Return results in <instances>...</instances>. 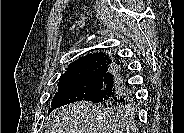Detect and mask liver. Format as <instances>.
<instances>
[{"instance_id":"1","label":"liver","mask_w":184,"mask_h":133,"mask_svg":"<svg viewBox=\"0 0 184 133\" xmlns=\"http://www.w3.org/2000/svg\"><path fill=\"white\" fill-rule=\"evenodd\" d=\"M47 133H120L110 115L91 102H76L62 106L49 116Z\"/></svg>"}]
</instances>
